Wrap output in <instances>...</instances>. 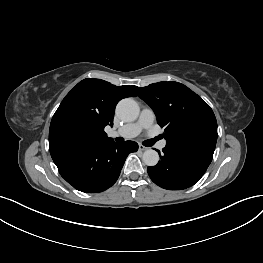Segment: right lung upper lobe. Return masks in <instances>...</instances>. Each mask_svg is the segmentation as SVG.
Returning <instances> with one entry per match:
<instances>
[{"label":"right lung upper lobe","instance_id":"cb5924a9","mask_svg":"<svg viewBox=\"0 0 263 263\" xmlns=\"http://www.w3.org/2000/svg\"><path fill=\"white\" fill-rule=\"evenodd\" d=\"M133 86H115L101 79H84L63 99L51 120L52 159L110 140L105 126H113L116 104L134 97Z\"/></svg>","mask_w":263,"mask_h":263}]
</instances>
